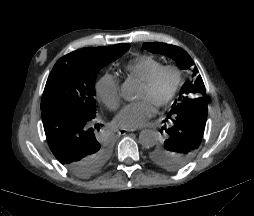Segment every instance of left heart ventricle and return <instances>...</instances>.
<instances>
[{
    "label": "left heart ventricle",
    "instance_id": "1",
    "mask_svg": "<svg viewBox=\"0 0 254 216\" xmlns=\"http://www.w3.org/2000/svg\"><path fill=\"white\" fill-rule=\"evenodd\" d=\"M171 83V76L169 74H164L152 89H146L142 85L139 89L137 97L139 99H148L155 104L156 101L162 99L167 94Z\"/></svg>",
    "mask_w": 254,
    "mask_h": 216
}]
</instances>
